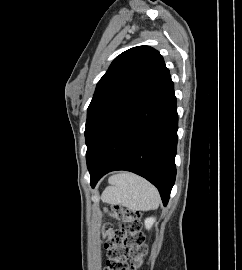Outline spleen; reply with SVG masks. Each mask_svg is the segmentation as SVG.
Segmentation results:
<instances>
[{
  "label": "spleen",
  "instance_id": "spleen-1",
  "mask_svg": "<svg viewBox=\"0 0 242 270\" xmlns=\"http://www.w3.org/2000/svg\"><path fill=\"white\" fill-rule=\"evenodd\" d=\"M102 200L112 205H123L133 211L156 209L160 204L158 190L147 180L132 173L113 177L111 186L102 194Z\"/></svg>",
  "mask_w": 242,
  "mask_h": 270
}]
</instances>
